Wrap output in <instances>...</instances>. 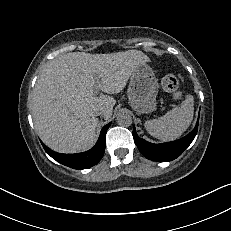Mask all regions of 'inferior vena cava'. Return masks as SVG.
<instances>
[{"instance_id":"602c4592","label":"inferior vena cava","mask_w":231,"mask_h":231,"mask_svg":"<svg viewBox=\"0 0 231 231\" xmlns=\"http://www.w3.org/2000/svg\"><path fill=\"white\" fill-rule=\"evenodd\" d=\"M102 113H103V109H100V110L96 111V115H97V116H98V115H102Z\"/></svg>"}]
</instances>
